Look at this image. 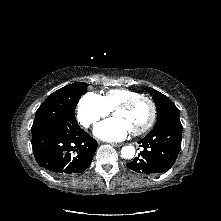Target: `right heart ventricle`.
Wrapping results in <instances>:
<instances>
[{"label":"right heart ventricle","instance_id":"1","mask_svg":"<svg viewBox=\"0 0 221 221\" xmlns=\"http://www.w3.org/2000/svg\"><path fill=\"white\" fill-rule=\"evenodd\" d=\"M140 95V93L134 90L127 88H116L105 92L101 97L111 111L114 110L119 104Z\"/></svg>","mask_w":221,"mask_h":221}]
</instances>
